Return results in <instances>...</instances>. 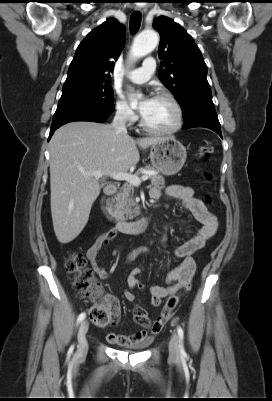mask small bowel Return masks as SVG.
I'll use <instances>...</instances> for the list:
<instances>
[{"instance_id": "obj_1", "label": "small bowel", "mask_w": 272, "mask_h": 401, "mask_svg": "<svg viewBox=\"0 0 272 401\" xmlns=\"http://www.w3.org/2000/svg\"><path fill=\"white\" fill-rule=\"evenodd\" d=\"M164 194L180 200V208L197 220L201 224V227L188 241L180 245L175 250V256L182 259V263L166 274V284L151 285L149 287L151 304L154 307L159 306L163 298L177 291L179 288L188 286L190 284L196 270V263L193 255L205 246L206 242L216 233L218 227L216 216L208 210L207 206L201 199L194 195V190L191 187L172 185L165 189ZM161 195L162 191L158 188H153L151 190V196L153 198H159ZM117 234L118 231L114 228L103 232L95 239L86 252L87 259L100 278H107L108 273L98 262L99 254L106 246H108V244L117 236ZM162 241L164 242L165 239L163 238ZM147 253L148 248L145 246H140L128 254L126 261L132 262L139 257H144ZM142 271L143 267L138 266L132 269L128 274L127 285L129 290L124 292V297L129 302H133L135 300L133 290L141 289L143 287L138 279V276L142 273ZM104 299L112 310L113 323H117L121 314V307L118 299L111 294H106ZM138 308L141 307H137L135 311ZM163 324L164 323L152 324L151 326L139 324L144 327L143 330L134 332L130 335L108 333L107 339L111 344L118 346L147 343L150 340V334H158L161 331Z\"/></svg>"}]
</instances>
